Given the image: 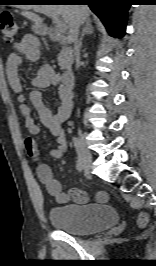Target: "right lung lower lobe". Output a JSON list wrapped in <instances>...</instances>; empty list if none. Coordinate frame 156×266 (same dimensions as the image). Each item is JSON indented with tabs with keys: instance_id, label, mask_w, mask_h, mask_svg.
<instances>
[{
	"instance_id": "98d812e1",
	"label": "right lung lower lobe",
	"mask_w": 156,
	"mask_h": 266,
	"mask_svg": "<svg viewBox=\"0 0 156 266\" xmlns=\"http://www.w3.org/2000/svg\"><path fill=\"white\" fill-rule=\"evenodd\" d=\"M50 3L63 5H89L91 10L101 19L106 29L115 37H123L126 29L127 11L131 0H52Z\"/></svg>"
}]
</instances>
